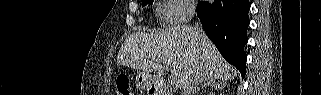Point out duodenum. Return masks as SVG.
<instances>
[{
	"label": "duodenum",
	"instance_id": "duodenum-1",
	"mask_svg": "<svg viewBox=\"0 0 321 95\" xmlns=\"http://www.w3.org/2000/svg\"><path fill=\"white\" fill-rule=\"evenodd\" d=\"M150 84L154 85L155 81L154 80H149ZM157 94H161V93H157Z\"/></svg>",
	"mask_w": 321,
	"mask_h": 95
}]
</instances>
